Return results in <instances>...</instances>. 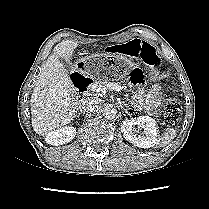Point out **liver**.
Here are the masks:
<instances>
[{
	"mask_svg": "<svg viewBox=\"0 0 209 209\" xmlns=\"http://www.w3.org/2000/svg\"><path fill=\"white\" fill-rule=\"evenodd\" d=\"M97 46V45H94ZM77 42L62 41L45 63L31 96L32 126L34 131L48 133L73 121L80 105L72 81L60 59L70 61Z\"/></svg>",
	"mask_w": 209,
	"mask_h": 209,
	"instance_id": "liver-1",
	"label": "liver"
}]
</instances>
